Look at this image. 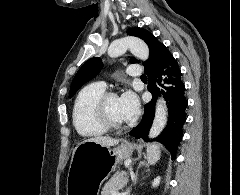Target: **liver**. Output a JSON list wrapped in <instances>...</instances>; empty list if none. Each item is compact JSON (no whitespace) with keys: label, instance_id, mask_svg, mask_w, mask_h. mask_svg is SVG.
Instances as JSON below:
<instances>
[{"label":"liver","instance_id":"obj_1","mask_svg":"<svg viewBox=\"0 0 240 195\" xmlns=\"http://www.w3.org/2000/svg\"><path fill=\"white\" fill-rule=\"evenodd\" d=\"M84 141H97V143H102V145H106V147H111V145H117V143H119V139H114V137H109V135H98V137H89V139H84Z\"/></svg>","mask_w":240,"mask_h":195}]
</instances>
